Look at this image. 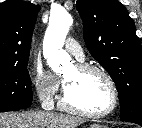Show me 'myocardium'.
<instances>
[{"label":"myocardium","mask_w":142,"mask_h":128,"mask_svg":"<svg viewBox=\"0 0 142 128\" xmlns=\"http://www.w3.org/2000/svg\"><path fill=\"white\" fill-rule=\"evenodd\" d=\"M79 71L84 72V73H89V72H95L101 74L106 81L108 82L111 92H112V103L110 107L103 111V112H87L82 109H79L75 106H73L69 101L67 97V92L65 86L62 89V95L59 101V105L62 109L66 110L69 113L85 117V118H90V119H99V118H104L112 114L118 104H119V92L117 85L112 78V76L102 67L94 64H88V63H79L75 66Z\"/></svg>","instance_id":"1"}]
</instances>
